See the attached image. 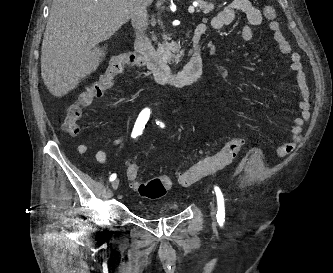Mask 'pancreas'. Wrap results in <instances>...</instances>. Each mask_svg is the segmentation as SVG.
Listing matches in <instances>:
<instances>
[{
    "instance_id": "pancreas-1",
    "label": "pancreas",
    "mask_w": 333,
    "mask_h": 273,
    "mask_svg": "<svg viewBox=\"0 0 333 273\" xmlns=\"http://www.w3.org/2000/svg\"><path fill=\"white\" fill-rule=\"evenodd\" d=\"M197 2L199 9L205 14L209 13L214 8L212 3L205 2L204 0H197ZM163 39L164 42L160 44L158 48L159 53L169 61H175L178 63L183 55V52L180 50V44L176 42H168L167 40H170L169 35H164Z\"/></svg>"
}]
</instances>
